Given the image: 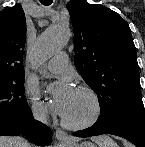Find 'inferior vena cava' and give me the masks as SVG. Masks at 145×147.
Segmentation results:
<instances>
[{
	"instance_id": "inferior-vena-cava-1",
	"label": "inferior vena cava",
	"mask_w": 145,
	"mask_h": 147,
	"mask_svg": "<svg viewBox=\"0 0 145 147\" xmlns=\"http://www.w3.org/2000/svg\"><path fill=\"white\" fill-rule=\"evenodd\" d=\"M34 118L41 121V122H45L46 121V111H44V110L35 111Z\"/></svg>"
}]
</instances>
